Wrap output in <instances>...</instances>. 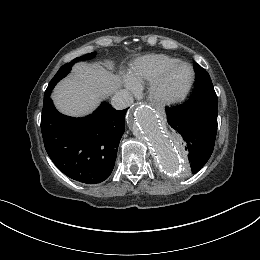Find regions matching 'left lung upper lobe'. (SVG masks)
<instances>
[{
	"instance_id": "5c2ea615",
	"label": "left lung upper lobe",
	"mask_w": 260,
	"mask_h": 260,
	"mask_svg": "<svg viewBox=\"0 0 260 260\" xmlns=\"http://www.w3.org/2000/svg\"><path fill=\"white\" fill-rule=\"evenodd\" d=\"M197 82L189 99L203 95H216L212 81L207 71L196 63Z\"/></svg>"
}]
</instances>
